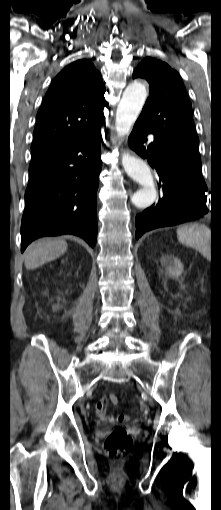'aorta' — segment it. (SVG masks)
I'll return each mask as SVG.
<instances>
[{"label": "aorta", "instance_id": "aorta-1", "mask_svg": "<svg viewBox=\"0 0 221 510\" xmlns=\"http://www.w3.org/2000/svg\"><path fill=\"white\" fill-rule=\"evenodd\" d=\"M146 98V87L140 82L135 81L125 89L116 112L115 127L119 136L130 132ZM122 165L128 176L142 186L131 197L133 205L140 209L151 206L156 199L157 192L148 164L141 158L124 154Z\"/></svg>", "mask_w": 221, "mask_h": 510}]
</instances>
